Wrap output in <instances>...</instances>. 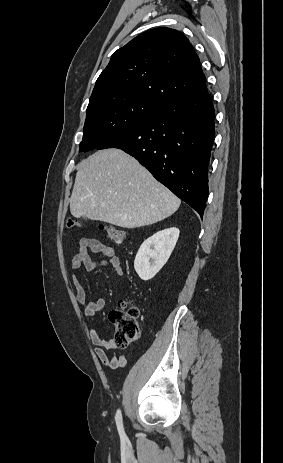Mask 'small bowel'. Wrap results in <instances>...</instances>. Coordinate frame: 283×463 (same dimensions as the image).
<instances>
[{
  "mask_svg": "<svg viewBox=\"0 0 283 463\" xmlns=\"http://www.w3.org/2000/svg\"><path fill=\"white\" fill-rule=\"evenodd\" d=\"M89 251L101 254L104 258L93 260L89 255ZM82 267L88 272L109 267L119 276H122L124 273L120 259L115 254L114 249L95 238H82L79 242V248L71 260V268L74 271H78ZM72 281L76 289V300L84 306L85 315L88 318H93L99 310L106 306V300L99 298L95 301H87L85 287L76 274H73ZM89 337L94 346L95 355L104 366L115 370L123 368L126 365L124 355L115 353L109 356L106 353V350L117 348L113 339H103L96 328H91Z\"/></svg>",
  "mask_w": 283,
  "mask_h": 463,
  "instance_id": "small-bowel-1",
  "label": "small bowel"
}]
</instances>
